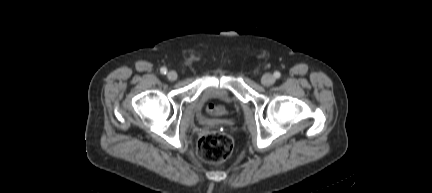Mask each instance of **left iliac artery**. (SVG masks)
<instances>
[{
  "label": "left iliac artery",
  "mask_w": 432,
  "mask_h": 193,
  "mask_svg": "<svg viewBox=\"0 0 432 193\" xmlns=\"http://www.w3.org/2000/svg\"><path fill=\"white\" fill-rule=\"evenodd\" d=\"M280 76H281L280 72H278V71L274 72V77L275 78H280Z\"/></svg>",
  "instance_id": "obj_1"
}]
</instances>
